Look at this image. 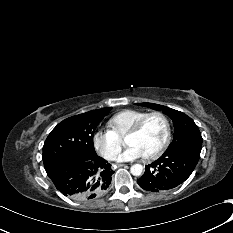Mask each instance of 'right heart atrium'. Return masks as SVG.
<instances>
[{
	"mask_svg": "<svg viewBox=\"0 0 233 233\" xmlns=\"http://www.w3.org/2000/svg\"><path fill=\"white\" fill-rule=\"evenodd\" d=\"M92 142L96 151L108 160H114L122 146L120 138L111 130L95 132L92 137Z\"/></svg>",
	"mask_w": 233,
	"mask_h": 233,
	"instance_id": "right-heart-atrium-1",
	"label": "right heart atrium"
}]
</instances>
